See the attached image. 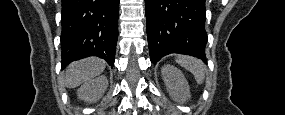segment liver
<instances>
[{"label":"liver","mask_w":285,"mask_h":115,"mask_svg":"<svg viewBox=\"0 0 285 115\" xmlns=\"http://www.w3.org/2000/svg\"><path fill=\"white\" fill-rule=\"evenodd\" d=\"M105 67V61L100 58L92 57L76 61L66 69L65 85L68 88H75L100 75Z\"/></svg>","instance_id":"liver-1"}]
</instances>
